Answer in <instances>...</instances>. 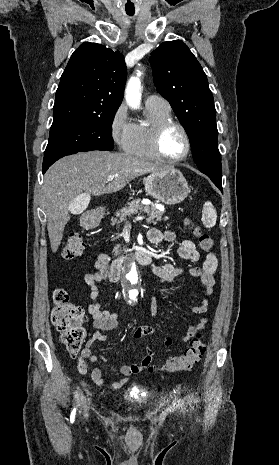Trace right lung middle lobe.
<instances>
[{
	"mask_svg": "<svg viewBox=\"0 0 279 465\" xmlns=\"http://www.w3.org/2000/svg\"><path fill=\"white\" fill-rule=\"evenodd\" d=\"M116 111L52 125L43 167L51 166L61 157L80 151L113 150L111 127Z\"/></svg>",
	"mask_w": 279,
	"mask_h": 465,
	"instance_id": "dd1d6c3e",
	"label": "right lung middle lobe"
}]
</instances>
